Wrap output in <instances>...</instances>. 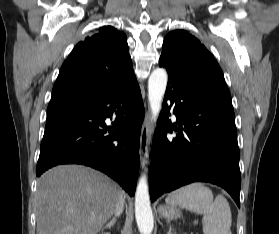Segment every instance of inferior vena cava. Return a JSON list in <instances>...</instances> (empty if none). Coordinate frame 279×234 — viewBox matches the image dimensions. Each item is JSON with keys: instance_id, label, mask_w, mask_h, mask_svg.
Wrapping results in <instances>:
<instances>
[{"instance_id": "obj_1", "label": "inferior vena cava", "mask_w": 279, "mask_h": 234, "mask_svg": "<svg viewBox=\"0 0 279 234\" xmlns=\"http://www.w3.org/2000/svg\"><path fill=\"white\" fill-rule=\"evenodd\" d=\"M123 209H124V198L123 196H121L115 205L114 214L120 215Z\"/></svg>"}]
</instances>
